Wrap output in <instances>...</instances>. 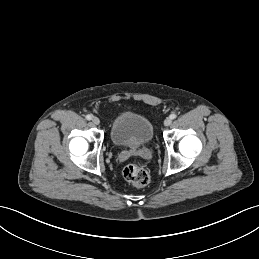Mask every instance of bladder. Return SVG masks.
Here are the masks:
<instances>
[{"mask_svg":"<svg viewBox=\"0 0 259 259\" xmlns=\"http://www.w3.org/2000/svg\"><path fill=\"white\" fill-rule=\"evenodd\" d=\"M153 125L145 116L124 111L112 122L110 136L112 142L124 149H138L153 138Z\"/></svg>","mask_w":259,"mask_h":259,"instance_id":"obj_1","label":"bladder"}]
</instances>
